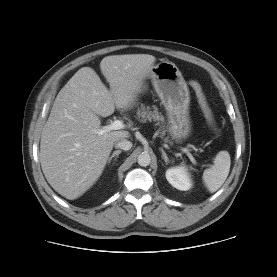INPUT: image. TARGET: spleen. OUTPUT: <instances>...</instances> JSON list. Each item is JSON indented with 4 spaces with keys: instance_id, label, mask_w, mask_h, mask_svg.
Here are the masks:
<instances>
[{
    "instance_id": "obj_1",
    "label": "spleen",
    "mask_w": 277,
    "mask_h": 277,
    "mask_svg": "<svg viewBox=\"0 0 277 277\" xmlns=\"http://www.w3.org/2000/svg\"><path fill=\"white\" fill-rule=\"evenodd\" d=\"M231 159L227 151H220L214 165L203 173V181L211 193L216 192L225 182L230 171Z\"/></svg>"
}]
</instances>
